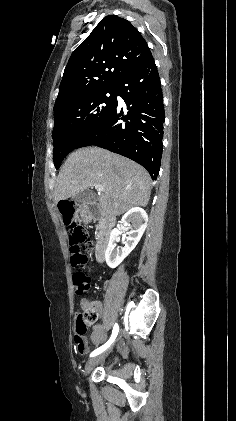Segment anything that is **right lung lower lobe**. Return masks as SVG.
Returning a JSON list of instances; mask_svg holds the SVG:
<instances>
[{"label":"right lung lower lobe","mask_w":236,"mask_h":421,"mask_svg":"<svg viewBox=\"0 0 236 421\" xmlns=\"http://www.w3.org/2000/svg\"><path fill=\"white\" fill-rule=\"evenodd\" d=\"M116 96L126 109L116 106L104 122L76 148L96 145L142 165L156 180L163 150L164 104L153 56L130 69L115 84Z\"/></svg>","instance_id":"obj_1"}]
</instances>
